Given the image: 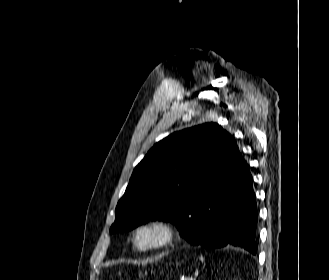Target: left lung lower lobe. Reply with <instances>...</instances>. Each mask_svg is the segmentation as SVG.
Listing matches in <instances>:
<instances>
[{
    "label": "left lung lower lobe",
    "mask_w": 329,
    "mask_h": 280,
    "mask_svg": "<svg viewBox=\"0 0 329 280\" xmlns=\"http://www.w3.org/2000/svg\"><path fill=\"white\" fill-rule=\"evenodd\" d=\"M230 179L200 205L194 223L179 227L185 239L204 248L241 247L256 254L257 209L252 177L238 152L231 161Z\"/></svg>",
    "instance_id": "left-lung-lower-lobe-1"
}]
</instances>
